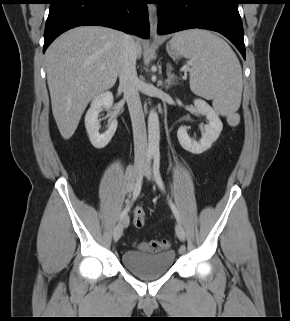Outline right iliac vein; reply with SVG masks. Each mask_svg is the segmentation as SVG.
Wrapping results in <instances>:
<instances>
[{
	"mask_svg": "<svg viewBox=\"0 0 290 321\" xmlns=\"http://www.w3.org/2000/svg\"><path fill=\"white\" fill-rule=\"evenodd\" d=\"M143 164H144V161L142 159H138L135 161V164H134L135 176L138 177L139 173L142 171ZM127 224H128V217L124 216L114 229V232H113L114 241H118L121 238L123 229Z\"/></svg>",
	"mask_w": 290,
	"mask_h": 321,
	"instance_id": "1",
	"label": "right iliac vein"
}]
</instances>
